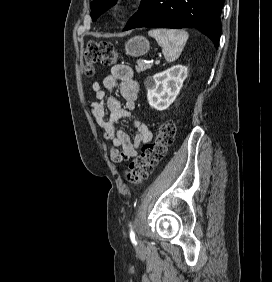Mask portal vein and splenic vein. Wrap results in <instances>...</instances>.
I'll use <instances>...</instances> for the list:
<instances>
[{
  "mask_svg": "<svg viewBox=\"0 0 272 282\" xmlns=\"http://www.w3.org/2000/svg\"><path fill=\"white\" fill-rule=\"evenodd\" d=\"M159 63H160V60L156 59L155 64H159Z\"/></svg>",
  "mask_w": 272,
  "mask_h": 282,
  "instance_id": "obj_1",
  "label": "portal vein and splenic vein"
}]
</instances>
